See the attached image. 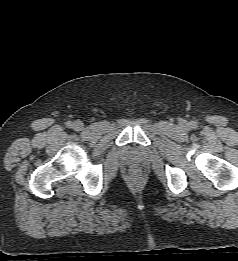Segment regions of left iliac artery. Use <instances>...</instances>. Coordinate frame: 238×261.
I'll return each instance as SVG.
<instances>
[{
    "instance_id": "obj_1",
    "label": "left iliac artery",
    "mask_w": 238,
    "mask_h": 261,
    "mask_svg": "<svg viewBox=\"0 0 238 261\" xmlns=\"http://www.w3.org/2000/svg\"><path fill=\"white\" fill-rule=\"evenodd\" d=\"M191 125H192L193 128L197 127L196 122H192Z\"/></svg>"
}]
</instances>
